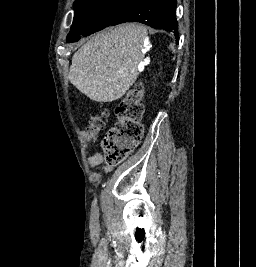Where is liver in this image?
<instances>
[{
  "label": "liver",
  "mask_w": 256,
  "mask_h": 267,
  "mask_svg": "<svg viewBox=\"0 0 256 267\" xmlns=\"http://www.w3.org/2000/svg\"><path fill=\"white\" fill-rule=\"evenodd\" d=\"M146 32L143 24L99 32L74 54L68 80L94 102L119 100L136 82Z\"/></svg>",
  "instance_id": "6515ba94"
}]
</instances>
